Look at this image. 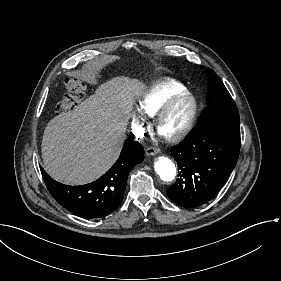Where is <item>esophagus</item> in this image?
<instances>
[{
  "mask_svg": "<svg viewBox=\"0 0 281 281\" xmlns=\"http://www.w3.org/2000/svg\"><path fill=\"white\" fill-rule=\"evenodd\" d=\"M160 152V149L155 147V146H150L146 149V154L151 156V155H156Z\"/></svg>",
  "mask_w": 281,
  "mask_h": 281,
  "instance_id": "esophagus-1",
  "label": "esophagus"
}]
</instances>
